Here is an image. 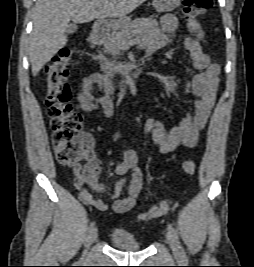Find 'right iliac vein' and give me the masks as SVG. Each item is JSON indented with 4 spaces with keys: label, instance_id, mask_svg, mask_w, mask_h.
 <instances>
[{
    "label": "right iliac vein",
    "instance_id": "63e3f726",
    "mask_svg": "<svg viewBox=\"0 0 254 267\" xmlns=\"http://www.w3.org/2000/svg\"><path fill=\"white\" fill-rule=\"evenodd\" d=\"M97 236H98V230L97 228L94 227L89 232L87 243H86V248H88L97 239Z\"/></svg>",
    "mask_w": 254,
    "mask_h": 267
}]
</instances>
